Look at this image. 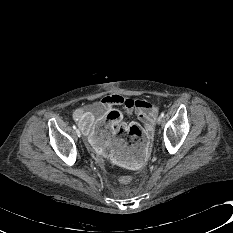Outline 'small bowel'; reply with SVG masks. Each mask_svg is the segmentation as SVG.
Returning <instances> with one entry per match:
<instances>
[{
  "label": "small bowel",
  "instance_id": "obj_1",
  "mask_svg": "<svg viewBox=\"0 0 233 233\" xmlns=\"http://www.w3.org/2000/svg\"><path fill=\"white\" fill-rule=\"evenodd\" d=\"M122 107L136 117L150 131L152 121L158 113V108L146 100H134L117 94L104 96L95 105V111L82 113L77 122L97 154H106L110 164L120 165L123 168H139L143 159L149 153L150 140L146 136H137L133 142L126 143L122 139H115L100 127L107 124L113 134L118 133L121 127L128 125L123 122L122 112L115 107ZM106 108V115L99 114L97 109Z\"/></svg>",
  "mask_w": 233,
  "mask_h": 233
}]
</instances>
